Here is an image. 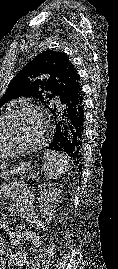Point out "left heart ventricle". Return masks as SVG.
I'll return each instance as SVG.
<instances>
[{
    "instance_id": "obj_1",
    "label": "left heart ventricle",
    "mask_w": 118,
    "mask_h": 269,
    "mask_svg": "<svg viewBox=\"0 0 118 269\" xmlns=\"http://www.w3.org/2000/svg\"><path fill=\"white\" fill-rule=\"evenodd\" d=\"M42 119L34 112H25L10 121L3 131V139L6 142L17 141L21 143H34L38 141L44 132Z\"/></svg>"
}]
</instances>
